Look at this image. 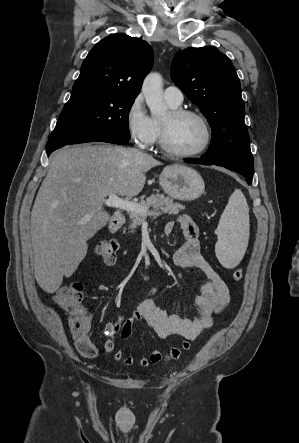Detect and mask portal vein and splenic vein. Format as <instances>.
<instances>
[{
  "label": "portal vein and splenic vein",
  "mask_w": 299,
  "mask_h": 443,
  "mask_svg": "<svg viewBox=\"0 0 299 443\" xmlns=\"http://www.w3.org/2000/svg\"><path fill=\"white\" fill-rule=\"evenodd\" d=\"M104 204L108 207L125 210L127 212H136L147 216H159L160 212H147L144 208L140 207L137 203L125 200L118 197L116 194H110L108 199L104 201Z\"/></svg>",
  "instance_id": "portal-vein-and-splenic-vein-1"
}]
</instances>
